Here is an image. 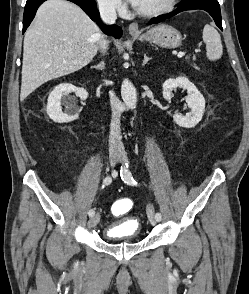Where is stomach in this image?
<instances>
[{
    "instance_id": "1",
    "label": "stomach",
    "mask_w": 249,
    "mask_h": 294,
    "mask_svg": "<svg viewBox=\"0 0 249 294\" xmlns=\"http://www.w3.org/2000/svg\"><path fill=\"white\" fill-rule=\"evenodd\" d=\"M132 36L141 40L151 41L164 48H175L180 46L182 42L181 33L167 24L156 25L142 35L140 33H132Z\"/></svg>"
}]
</instances>
